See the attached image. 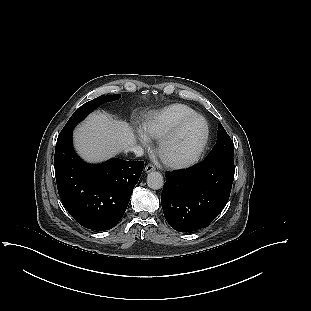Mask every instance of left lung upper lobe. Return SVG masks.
<instances>
[{
    "mask_svg": "<svg viewBox=\"0 0 311 311\" xmlns=\"http://www.w3.org/2000/svg\"><path fill=\"white\" fill-rule=\"evenodd\" d=\"M233 141L221 124L218 126L217 141L205 160H224L233 162Z\"/></svg>",
    "mask_w": 311,
    "mask_h": 311,
    "instance_id": "obj_1",
    "label": "left lung upper lobe"
}]
</instances>
